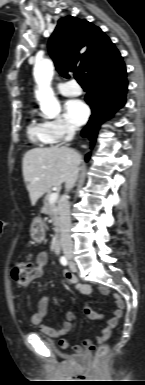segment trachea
<instances>
[{
	"instance_id": "trachea-1",
	"label": "trachea",
	"mask_w": 145,
	"mask_h": 385,
	"mask_svg": "<svg viewBox=\"0 0 145 385\" xmlns=\"http://www.w3.org/2000/svg\"><path fill=\"white\" fill-rule=\"evenodd\" d=\"M74 77H75V79L77 80V82H78L80 85H84V84H85L83 78L81 77V75H80L79 73H75V74H74Z\"/></svg>"
}]
</instances>
